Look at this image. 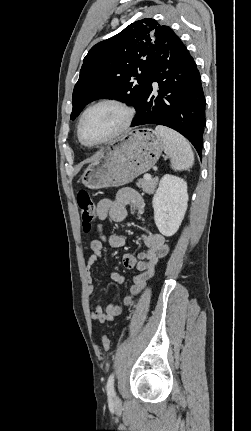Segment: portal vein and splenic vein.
<instances>
[{
	"mask_svg": "<svg viewBox=\"0 0 251 431\" xmlns=\"http://www.w3.org/2000/svg\"><path fill=\"white\" fill-rule=\"evenodd\" d=\"M144 178H145L146 180H150V179H151V175H150V174H145V175H144Z\"/></svg>",
	"mask_w": 251,
	"mask_h": 431,
	"instance_id": "1",
	"label": "portal vein and splenic vein"
}]
</instances>
